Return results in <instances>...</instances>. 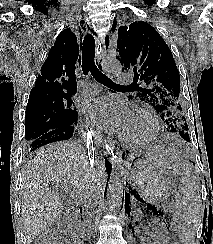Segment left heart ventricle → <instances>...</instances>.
I'll return each mask as SVG.
<instances>
[{
    "label": "left heart ventricle",
    "instance_id": "left-heart-ventricle-1",
    "mask_svg": "<svg viewBox=\"0 0 213 244\" xmlns=\"http://www.w3.org/2000/svg\"><path fill=\"white\" fill-rule=\"evenodd\" d=\"M150 131L149 122L142 116L133 115L131 122L124 130L123 134L129 138H141Z\"/></svg>",
    "mask_w": 213,
    "mask_h": 244
}]
</instances>
